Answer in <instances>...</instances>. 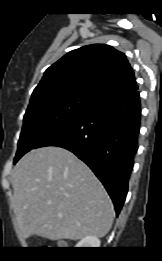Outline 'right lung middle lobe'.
Wrapping results in <instances>:
<instances>
[{"label":"right lung middle lobe","instance_id":"right-lung-middle-lobe-1","mask_svg":"<svg viewBox=\"0 0 162 261\" xmlns=\"http://www.w3.org/2000/svg\"><path fill=\"white\" fill-rule=\"evenodd\" d=\"M100 105L80 93H65L30 100L14 164L50 132Z\"/></svg>","mask_w":162,"mask_h":261}]
</instances>
